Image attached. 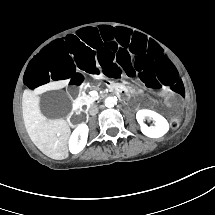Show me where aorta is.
Returning <instances> with one entry per match:
<instances>
[{
	"mask_svg": "<svg viewBox=\"0 0 215 215\" xmlns=\"http://www.w3.org/2000/svg\"><path fill=\"white\" fill-rule=\"evenodd\" d=\"M117 100L115 97L109 96L105 99V105L107 107H113L116 104Z\"/></svg>",
	"mask_w": 215,
	"mask_h": 215,
	"instance_id": "obj_1",
	"label": "aorta"
}]
</instances>
